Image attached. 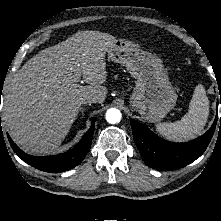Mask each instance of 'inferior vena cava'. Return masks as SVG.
<instances>
[{"label": "inferior vena cava", "mask_w": 221, "mask_h": 221, "mask_svg": "<svg viewBox=\"0 0 221 221\" xmlns=\"http://www.w3.org/2000/svg\"><path fill=\"white\" fill-rule=\"evenodd\" d=\"M91 104V103H96L95 99H85L82 101V104Z\"/></svg>", "instance_id": "602c4592"}]
</instances>
